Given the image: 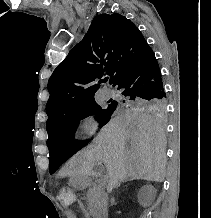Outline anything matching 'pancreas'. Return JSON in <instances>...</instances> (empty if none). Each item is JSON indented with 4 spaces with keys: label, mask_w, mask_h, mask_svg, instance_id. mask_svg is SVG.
Masks as SVG:
<instances>
[{
    "label": "pancreas",
    "mask_w": 211,
    "mask_h": 218,
    "mask_svg": "<svg viewBox=\"0 0 211 218\" xmlns=\"http://www.w3.org/2000/svg\"><path fill=\"white\" fill-rule=\"evenodd\" d=\"M88 210L92 214L93 218H97L98 214H101L104 206V194L101 190V186H92L87 194Z\"/></svg>",
    "instance_id": "cf45deb5"
}]
</instances>
